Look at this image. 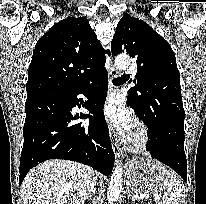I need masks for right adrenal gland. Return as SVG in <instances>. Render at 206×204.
Segmentation results:
<instances>
[{
  "label": "right adrenal gland",
  "mask_w": 206,
  "mask_h": 204,
  "mask_svg": "<svg viewBox=\"0 0 206 204\" xmlns=\"http://www.w3.org/2000/svg\"><path fill=\"white\" fill-rule=\"evenodd\" d=\"M90 195L88 197H86L84 200L91 198V193H89ZM82 204H85L84 202Z\"/></svg>",
  "instance_id": "right-adrenal-gland-1"
}]
</instances>
